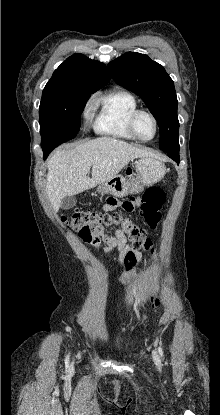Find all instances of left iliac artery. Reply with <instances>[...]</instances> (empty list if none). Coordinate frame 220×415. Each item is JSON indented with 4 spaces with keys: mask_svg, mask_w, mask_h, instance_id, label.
<instances>
[{
    "mask_svg": "<svg viewBox=\"0 0 220 415\" xmlns=\"http://www.w3.org/2000/svg\"><path fill=\"white\" fill-rule=\"evenodd\" d=\"M158 352H159V354H160V356L163 358L164 357V351H163V349H162V347H158Z\"/></svg>",
    "mask_w": 220,
    "mask_h": 415,
    "instance_id": "left-iliac-artery-1",
    "label": "left iliac artery"
}]
</instances>
